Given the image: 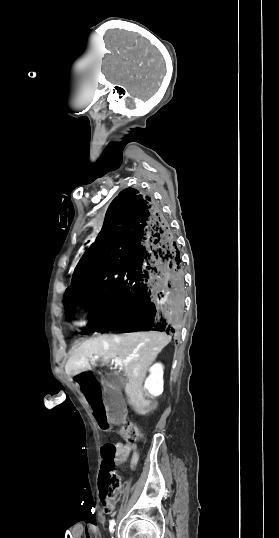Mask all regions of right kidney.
<instances>
[{"mask_svg": "<svg viewBox=\"0 0 279 538\" xmlns=\"http://www.w3.org/2000/svg\"><path fill=\"white\" fill-rule=\"evenodd\" d=\"M145 388L149 394L153 396H160L163 392V366L162 364H155L150 368V376H148L145 382Z\"/></svg>", "mask_w": 279, "mask_h": 538, "instance_id": "right-kidney-1", "label": "right kidney"}]
</instances>
